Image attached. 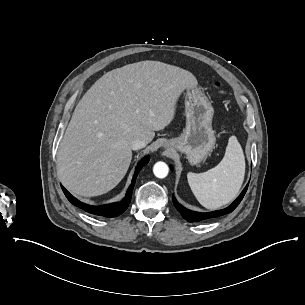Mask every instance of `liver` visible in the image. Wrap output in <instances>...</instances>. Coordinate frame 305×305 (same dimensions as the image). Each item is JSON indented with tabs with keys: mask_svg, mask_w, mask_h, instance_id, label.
<instances>
[{
	"mask_svg": "<svg viewBox=\"0 0 305 305\" xmlns=\"http://www.w3.org/2000/svg\"><path fill=\"white\" fill-rule=\"evenodd\" d=\"M195 76L159 61H141L104 74L83 95L59 145L58 177L77 195L107 193L124 178L130 143H150L174 118L178 97Z\"/></svg>",
	"mask_w": 305,
	"mask_h": 305,
	"instance_id": "liver-1",
	"label": "liver"
}]
</instances>
